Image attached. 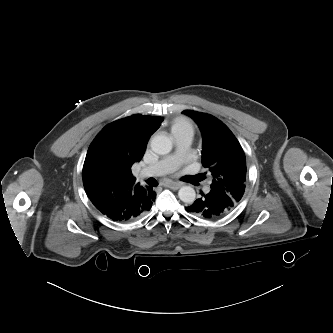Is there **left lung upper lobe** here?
<instances>
[{
  "instance_id": "obj_1",
  "label": "left lung upper lobe",
  "mask_w": 333,
  "mask_h": 333,
  "mask_svg": "<svg viewBox=\"0 0 333 333\" xmlns=\"http://www.w3.org/2000/svg\"><path fill=\"white\" fill-rule=\"evenodd\" d=\"M200 127L203 135L202 165L213 177L211 189L226 193L236 203L245 191L246 158L228 127L217 118L192 110L183 111Z\"/></svg>"
}]
</instances>
